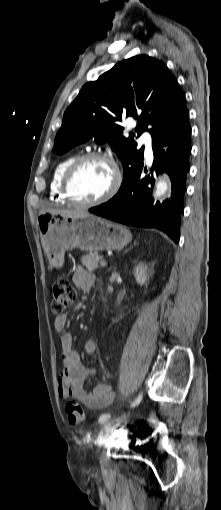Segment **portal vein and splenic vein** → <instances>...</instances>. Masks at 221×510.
Returning a JSON list of instances; mask_svg holds the SVG:
<instances>
[{
    "label": "portal vein and splenic vein",
    "mask_w": 221,
    "mask_h": 510,
    "mask_svg": "<svg viewBox=\"0 0 221 510\" xmlns=\"http://www.w3.org/2000/svg\"><path fill=\"white\" fill-rule=\"evenodd\" d=\"M100 264H101V266H106V265H107V262H106L105 260H101V261H100Z\"/></svg>",
    "instance_id": "18ae733b"
}]
</instances>
